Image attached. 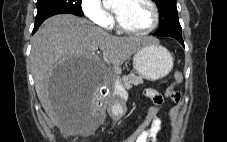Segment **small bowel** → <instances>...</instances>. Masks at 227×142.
Masks as SVG:
<instances>
[{
  "instance_id": "obj_1",
  "label": "small bowel",
  "mask_w": 227,
  "mask_h": 142,
  "mask_svg": "<svg viewBox=\"0 0 227 142\" xmlns=\"http://www.w3.org/2000/svg\"><path fill=\"white\" fill-rule=\"evenodd\" d=\"M144 95L149 98L155 105H158L160 108L163 106L164 98L155 89H146L144 91ZM170 98L173 101H178L180 99L179 92H172L170 94ZM162 128V121L158 117L154 120L148 130L143 134V136L139 139L138 142H157V137Z\"/></svg>"
}]
</instances>
